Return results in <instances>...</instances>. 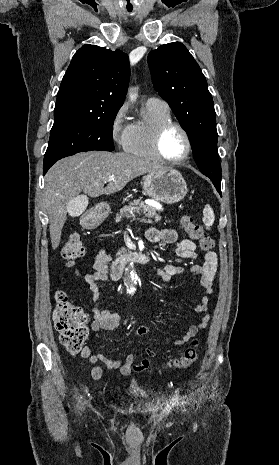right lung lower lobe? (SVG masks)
Masks as SVG:
<instances>
[{"instance_id": "right-lung-lower-lobe-1", "label": "right lung lower lobe", "mask_w": 279, "mask_h": 465, "mask_svg": "<svg viewBox=\"0 0 279 465\" xmlns=\"http://www.w3.org/2000/svg\"><path fill=\"white\" fill-rule=\"evenodd\" d=\"M51 166L43 167V174H45Z\"/></svg>"}]
</instances>
